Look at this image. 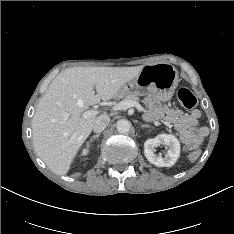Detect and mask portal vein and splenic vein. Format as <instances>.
I'll return each instance as SVG.
<instances>
[{"instance_id": "18ae733b", "label": "portal vein and splenic vein", "mask_w": 234, "mask_h": 234, "mask_svg": "<svg viewBox=\"0 0 234 234\" xmlns=\"http://www.w3.org/2000/svg\"><path fill=\"white\" fill-rule=\"evenodd\" d=\"M131 107H135L140 112L144 111V108L138 102L131 101V100L120 101L119 103H117L116 105L112 107V110L113 111L126 110ZM98 113L99 112L96 110H87L83 113V117L89 118V117L97 115Z\"/></svg>"}]
</instances>
